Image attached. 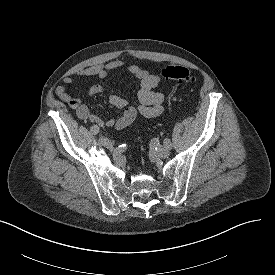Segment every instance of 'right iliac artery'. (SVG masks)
<instances>
[{"label":"right iliac artery","mask_w":275,"mask_h":275,"mask_svg":"<svg viewBox=\"0 0 275 275\" xmlns=\"http://www.w3.org/2000/svg\"><path fill=\"white\" fill-rule=\"evenodd\" d=\"M91 133L96 135L99 133V127L97 125H93L90 129Z\"/></svg>","instance_id":"1"}]
</instances>
